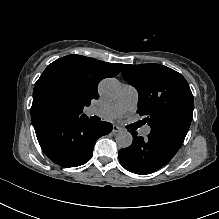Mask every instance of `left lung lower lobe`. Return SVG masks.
Returning a JSON list of instances; mask_svg holds the SVG:
<instances>
[{
  "instance_id": "0a47b994",
  "label": "left lung lower lobe",
  "mask_w": 219,
  "mask_h": 219,
  "mask_svg": "<svg viewBox=\"0 0 219 219\" xmlns=\"http://www.w3.org/2000/svg\"><path fill=\"white\" fill-rule=\"evenodd\" d=\"M132 144L119 150V161L128 171L146 175L166 165L177 153L179 148L162 138L149 134L146 138L130 131Z\"/></svg>"
}]
</instances>
